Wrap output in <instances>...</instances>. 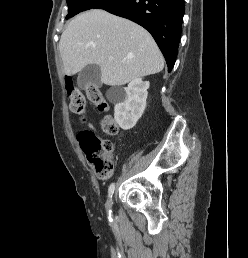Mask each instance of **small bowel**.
I'll return each mask as SVG.
<instances>
[{"mask_svg":"<svg viewBox=\"0 0 248 258\" xmlns=\"http://www.w3.org/2000/svg\"><path fill=\"white\" fill-rule=\"evenodd\" d=\"M89 128H90L91 130H93V127H92V125H89Z\"/></svg>","mask_w":248,"mask_h":258,"instance_id":"c3829d8e","label":"small bowel"}]
</instances>
